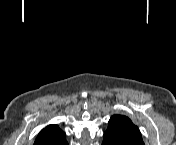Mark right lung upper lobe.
Returning a JSON list of instances; mask_svg holds the SVG:
<instances>
[{
    "instance_id": "right-lung-upper-lobe-1",
    "label": "right lung upper lobe",
    "mask_w": 176,
    "mask_h": 145,
    "mask_svg": "<svg viewBox=\"0 0 176 145\" xmlns=\"http://www.w3.org/2000/svg\"><path fill=\"white\" fill-rule=\"evenodd\" d=\"M66 135L57 125H48L38 134L34 145H65Z\"/></svg>"
}]
</instances>
